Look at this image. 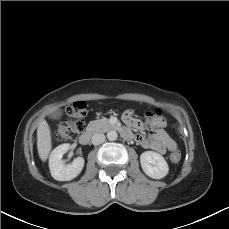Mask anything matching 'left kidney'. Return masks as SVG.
<instances>
[{
	"label": "left kidney",
	"instance_id": "5707ae66",
	"mask_svg": "<svg viewBox=\"0 0 229 229\" xmlns=\"http://www.w3.org/2000/svg\"><path fill=\"white\" fill-rule=\"evenodd\" d=\"M140 163L144 173L153 179L164 178L169 171L164 157L153 151H145L140 155Z\"/></svg>",
	"mask_w": 229,
	"mask_h": 229
}]
</instances>
